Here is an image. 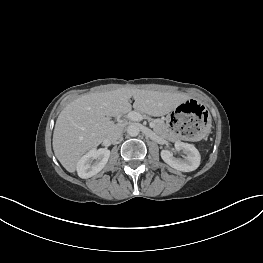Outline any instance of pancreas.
<instances>
[{"mask_svg": "<svg viewBox=\"0 0 263 263\" xmlns=\"http://www.w3.org/2000/svg\"><path fill=\"white\" fill-rule=\"evenodd\" d=\"M146 117V115H144ZM150 121H152L155 124L154 132L158 134L159 136L166 138V139H173L171 130L169 129L168 125L164 123L162 120L158 119H151L147 117Z\"/></svg>", "mask_w": 263, "mask_h": 263, "instance_id": "cf45deb5", "label": "pancreas"}]
</instances>
